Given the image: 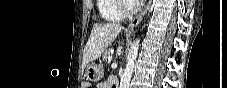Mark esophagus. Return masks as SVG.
<instances>
[{
    "label": "esophagus",
    "instance_id": "1",
    "mask_svg": "<svg viewBox=\"0 0 227 88\" xmlns=\"http://www.w3.org/2000/svg\"><path fill=\"white\" fill-rule=\"evenodd\" d=\"M151 3H152V0H149L148 2H147V5H146V7H145V9L134 19V20H132L131 21V23L129 24V26H128V30H132V29H134L135 27H137V25L140 23V21L143 19V17L146 15V13H147V11H148V9H149V7H150V5H151Z\"/></svg>",
    "mask_w": 227,
    "mask_h": 88
}]
</instances>
